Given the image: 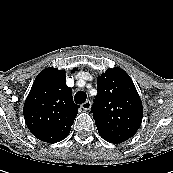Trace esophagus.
<instances>
[{"instance_id": "34e87169", "label": "esophagus", "mask_w": 173, "mask_h": 173, "mask_svg": "<svg viewBox=\"0 0 173 173\" xmlns=\"http://www.w3.org/2000/svg\"><path fill=\"white\" fill-rule=\"evenodd\" d=\"M81 107L84 110H89L91 108V102L89 100H87L86 102H84L83 104H81Z\"/></svg>"}]
</instances>
